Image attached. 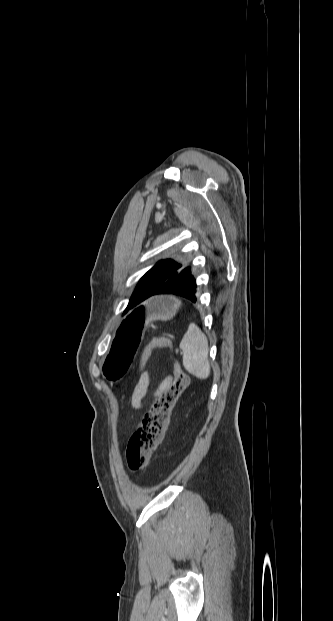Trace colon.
<instances>
[{
    "mask_svg": "<svg viewBox=\"0 0 333 621\" xmlns=\"http://www.w3.org/2000/svg\"><path fill=\"white\" fill-rule=\"evenodd\" d=\"M165 346H169V342L164 338L152 340L143 352L141 366L146 363L153 349ZM189 383V376L176 362L172 384L154 401L128 441L126 460L132 472L143 470L148 465L152 453L163 439L173 407Z\"/></svg>",
    "mask_w": 333,
    "mask_h": 621,
    "instance_id": "obj_1",
    "label": "colon"
}]
</instances>
